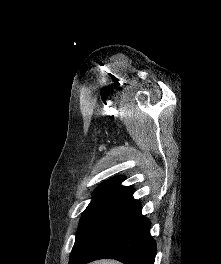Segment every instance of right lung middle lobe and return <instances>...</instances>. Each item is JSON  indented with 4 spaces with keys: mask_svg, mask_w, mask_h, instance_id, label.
Returning a JSON list of instances; mask_svg holds the SVG:
<instances>
[{
    "mask_svg": "<svg viewBox=\"0 0 221 264\" xmlns=\"http://www.w3.org/2000/svg\"><path fill=\"white\" fill-rule=\"evenodd\" d=\"M125 191L122 189L96 190L94 198L80 219L76 241L70 258H74L82 251L103 218Z\"/></svg>",
    "mask_w": 221,
    "mask_h": 264,
    "instance_id": "dd1d6c3e",
    "label": "right lung middle lobe"
}]
</instances>
